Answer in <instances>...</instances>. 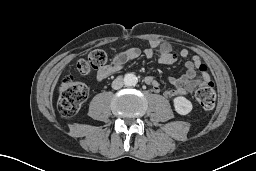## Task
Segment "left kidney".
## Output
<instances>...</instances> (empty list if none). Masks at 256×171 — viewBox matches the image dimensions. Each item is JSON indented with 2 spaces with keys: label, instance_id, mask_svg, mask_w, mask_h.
<instances>
[{
  "label": "left kidney",
  "instance_id": "5707ae66",
  "mask_svg": "<svg viewBox=\"0 0 256 171\" xmlns=\"http://www.w3.org/2000/svg\"><path fill=\"white\" fill-rule=\"evenodd\" d=\"M173 102L175 111L180 115H187L193 108L192 103L183 96L174 98Z\"/></svg>",
  "mask_w": 256,
  "mask_h": 171
}]
</instances>
